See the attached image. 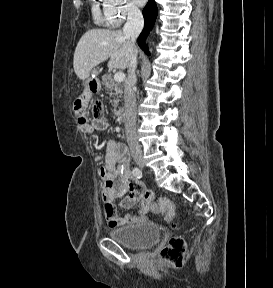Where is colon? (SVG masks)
Returning <instances> with one entry per match:
<instances>
[{
	"label": "colon",
	"instance_id": "obj_1",
	"mask_svg": "<svg viewBox=\"0 0 273 288\" xmlns=\"http://www.w3.org/2000/svg\"><path fill=\"white\" fill-rule=\"evenodd\" d=\"M76 116L80 124H87L88 118L85 110L80 103H76L74 106ZM103 111L102 104L97 101L93 104V115H100ZM154 212L160 213L166 220H171L175 213V207L172 201L167 197H160L150 205ZM186 252V242L180 236H174L169 239L168 243L160 250V258L169 262L175 267H181L184 262V256Z\"/></svg>",
	"mask_w": 273,
	"mask_h": 288
}]
</instances>
